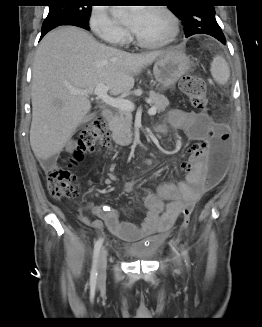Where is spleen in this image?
<instances>
[{
  "label": "spleen",
  "instance_id": "3e777b00",
  "mask_svg": "<svg viewBox=\"0 0 262 327\" xmlns=\"http://www.w3.org/2000/svg\"><path fill=\"white\" fill-rule=\"evenodd\" d=\"M210 72L213 79L220 85L227 83L230 77V70L225 59L219 55L213 58Z\"/></svg>",
  "mask_w": 262,
  "mask_h": 327
}]
</instances>
